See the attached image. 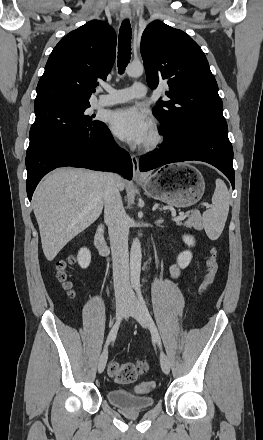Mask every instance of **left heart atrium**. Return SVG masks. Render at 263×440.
Segmentation results:
<instances>
[{
    "instance_id": "obj_1",
    "label": "left heart atrium",
    "mask_w": 263,
    "mask_h": 440,
    "mask_svg": "<svg viewBox=\"0 0 263 440\" xmlns=\"http://www.w3.org/2000/svg\"><path fill=\"white\" fill-rule=\"evenodd\" d=\"M109 123L120 138L133 144L143 143L152 128L151 119L136 106L113 111Z\"/></svg>"
}]
</instances>
